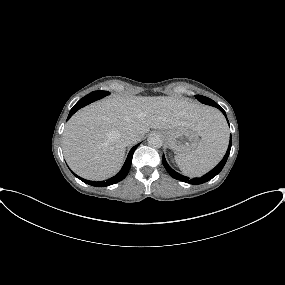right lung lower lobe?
I'll use <instances>...</instances> for the list:
<instances>
[{
  "label": "right lung lower lobe",
  "mask_w": 285,
  "mask_h": 285,
  "mask_svg": "<svg viewBox=\"0 0 285 285\" xmlns=\"http://www.w3.org/2000/svg\"><path fill=\"white\" fill-rule=\"evenodd\" d=\"M98 97H92V98H87V99H81L79 100L74 107L71 109L67 120L80 108L88 105L89 103L95 101ZM139 146V144L135 145L129 152L127 159L122 167V169L120 170V172L118 174H116L115 176H113L112 178L105 180V181H90V180H86L83 179L77 175H75L77 178H79L80 180H82L83 182H85L86 184H89L91 186H96V187H105V186H109L112 184H115L121 180H123L126 175L128 174L130 167H131V162H132V157H133V153L135 151V149Z\"/></svg>",
  "instance_id": "right-lung-lower-lobe-1"
}]
</instances>
